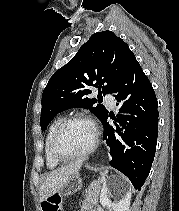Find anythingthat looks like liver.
<instances>
[{
  "label": "liver",
  "instance_id": "obj_1",
  "mask_svg": "<svg viewBox=\"0 0 179 211\" xmlns=\"http://www.w3.org/2000/svg\"><path fill=\"white\" fill-rule=\"evenodd\" d=\"M81 165L79 161L52 171L40 187V202L57 193L71 175L78 173Z\"/></svg>",
  "mask_w": 179,
  "mask_h": 211
}]
</instances>
